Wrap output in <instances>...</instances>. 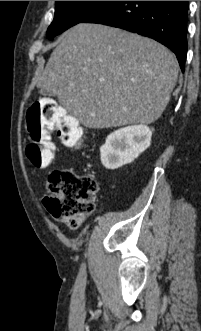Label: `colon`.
Returning a JSON list of instances; mask_svg holds the SVG:
<instances>
[{
  "instance_id": "obj_1",
  "label": "colon",
  "mask_w": 201,
  "mask_h": 331,
  "mask_svg": "<svg viewBox=\"0 0 201 331\" xmlns=\"http://www.w3.org/2000/svg\"><path fill=\"white\" fill-rule=\"evenodd\" d=\"M27 127L30 135L26 155L36 167H46L54 160L51 131H56L71 147L78 148L83 143L77 120L50 98H42L29 108ZM48 189L50 195L43 200L45 208L53 218L71 228H78L95 208L98 184L91 176L55 170L49 176Z\"/></svg>"
}]
</instances>
